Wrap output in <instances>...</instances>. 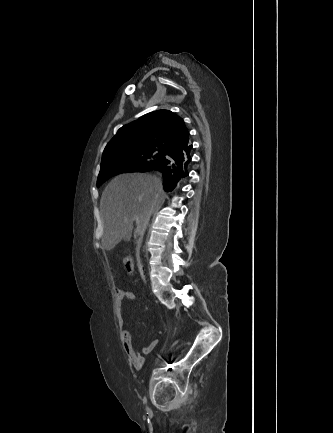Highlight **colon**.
I'll use <instances>...</instances> for the list:
<instances>
[{
    "instance_id": "obj_1",
    "label": "colon",
    "mask_w": 333,
    "mask_h": 433,
    "mask_svg": "<svg viewBox=\"0 0 333 433\" xmlns=\"http://www.w3.org/2000/svg\"><path fill=\"white\" fill-rule=\"evenodd\" d=\"M123 264L127 273L131 274L134 271V263L132 262L131 257L129 256L124 257Z\"/></svg>"
}]
</instances>
